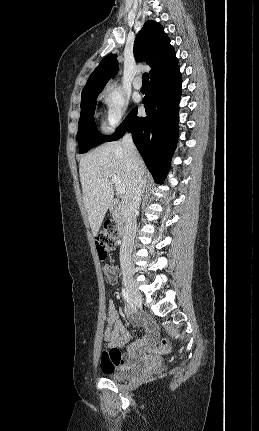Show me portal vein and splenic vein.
Returning a JSON list of instances; mask_svg holds the SVG:
<instances>
[{"label":"portal vein and splenic vein","mask_w":259,"mask_h":431,"mask_svg":"<svg viewBox=\"0 0 259 431\" xmlns=\"http://www.w3.org/2000/svg\"><path fill=\"white\" fill-rule=\"evenodd\" d=\"M111 181L116 185V191L118 194H124L125 193V187L120 182L119 178L117 176H113L111 178Z\"/></svg>","instance_id":"18ae733b"}]
</instances>
